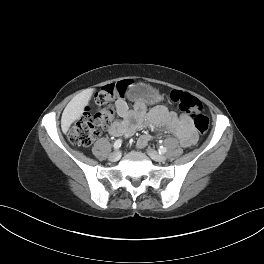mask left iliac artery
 Listing matches in <instances>:
<instances>
[{
	"label": "left iliac artery",
	"mask_w": 264,
	"mask_h": 264,
	"mask_svg": "<svg viewBox=\"0 0 264 264\" xmlns=\"http://www.w3.org/2000/svg\"><path fill=\"white\" fill-rule=\"evenodd\" d=\"M158 151H159V154H164V153H166L167 149L165 147H163V146H160Z\"/></svg>",
	"instance_id": "1"
}]
</instances>
